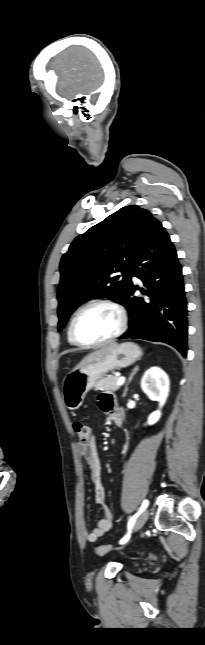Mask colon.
<instances>
[{"label": "colon", "mask_w": 205, "mask_h": 645, "mask_svg": "<svg viewBox=\"0 0 205 645\" xmlns=\"http://www.w3.org/2000/svg\"><path fill=\"white\" fill-rule=\"evenodd\" d=\"M73 429L76 433V435L79 438V441L82 444H87L91 440V430L90 428L83 422L81 421H75L73 423ZM115 547L113 545L107 544V545H100L95 548V553L97 555H105L107 552L114 550ZM150 558H154V556L149 555Z\"/></svg>", "instance_id": "5ec220e1"}]
</instances>
